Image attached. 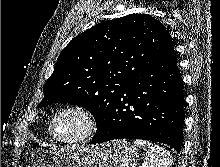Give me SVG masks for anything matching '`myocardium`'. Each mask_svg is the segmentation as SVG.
<instances>
[{"label": "myocardium", "instance_id": "f54148a6", "mask_svg": "<svg viewBox=\"0 0 220 167\" xmlns=\"http://www.w3.org/2000/svg\"><path fill=\"white\" fill-rule=\"evenodd\" d=\"M68 113H74L79 115L84 122V128L78 135L74 137L71 138L58 137L54 132L55 123L61 116ZM98 129H99V121L96 115L89 108L79 104H71L64 106L54 114L49 124V133L51 137L56 142L65 145H72V144L86 142L90 140L97 133Z\"/></svg>", "mask_w": 220, "mask_h": 167}]
</instances>
